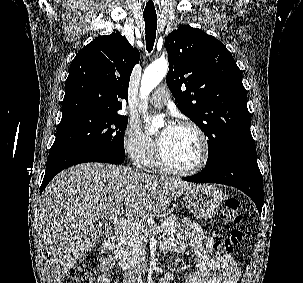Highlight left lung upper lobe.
Masks as SVG:
<instances>
[{"label": "left lung upper lobe", "instance_id": "5c2ea615", "mask_svg": "<svg viewBox=\"0 0 303 283\" xmlns=\"http://www.w3.org/2000/svg\"><path fill=\"white\" fill-rule=\"evenodd\" d=\"M165 48L167 85L181 112L208 138L206 165L255 146L242 73L226 47L202 30L182 25L167 36Z\"/></svg>", "mask_w": 303, "mask_h": 283}]
</instances>
